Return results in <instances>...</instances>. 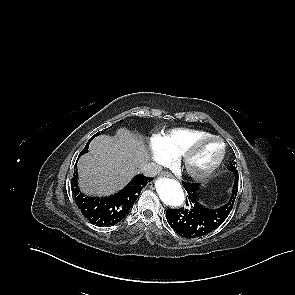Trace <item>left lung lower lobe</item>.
Masks as SVG:
<instances>
[{"label":"left lung lower lobe","instance_id":"1","mask_svg":"<svg viewBox=\"0 0 295 295\" xmlns=\"http://www.w3.org/2000/svg\"><path fill=\"white\" fill-rule=\"evenodd\" d=\"M232 172L235 175V180L231 198L226 204L216 209L206 208L200 203L199 184L182 182L188 192L191 208L168 209L166 218L170 226L186 238L200 237L219 227L232 210L238 192V171Z\"/></svg>","mask_w":295,"mask_h":295}]
</instances>
